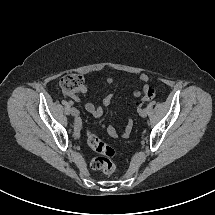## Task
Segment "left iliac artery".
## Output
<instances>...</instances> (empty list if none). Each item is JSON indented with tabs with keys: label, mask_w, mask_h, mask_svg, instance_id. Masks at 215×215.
Instances as JSON below:
<instances>
[{
	"label": "left iliac artery",
	"mask_w": 215,
	"mask_h": 215,
	"mask_svg": "<svg viewBox=\"0 0 215 215\" xmlns=\"http://www.w3.org/2000/svg\"><path fill=\"white\" fill-rule=\"evenodd\" d=\"M138 113H143V108H138Z\"/></svg>",
	"instance_id": "obj_1"
}]
</instances>
